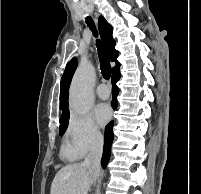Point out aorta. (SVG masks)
Returning a JSON list of instances; mask_svg holds the SVG:
<instances>
[{
  "label": "aorta",
  "mask_w": 201,
  "mask_h": 194,
  "mask_svg": "<svg viewBox=\"0 0 201 194\" xmlns=\"http://www.w3.org/2000/svg\"><path fill=\"white\" fill-rule=\"evenodd\" d=\"M95 68L87 60H82L72 78L69 89V107L78 114L85 115L93 103Z\"/></svg>",
  "instance_id": "obj_1"
}]
</instances>
